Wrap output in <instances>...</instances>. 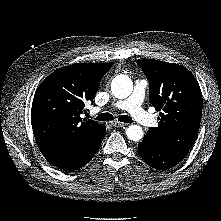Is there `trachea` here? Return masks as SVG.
<instances>
[{
    "label": "trachea",
    "instance_id": "trachea-1",
    "mask_svg": "<svg viewBox=\"0 0 221 221\" xmlns=\"http://www.w3.org/2000/svg\"><path fill=\"white\" fill-rule=\"evenodd\" d=\"M95 119L99 121H111L114 119V117L109 113H102L98 115ZM118 120L124 123H132V118L128 115H121Z\"/></svg>",
    "mask_w": 221,
    "mask_h": 221
}]
</instances>
